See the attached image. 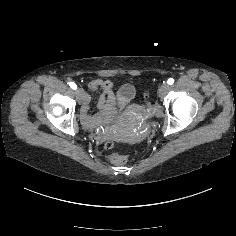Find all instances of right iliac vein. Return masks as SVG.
I'll list each match as a JSON object with an SVG mask.
<instances>
[{
  "mask_svg": "<svg viewBox=\"0 0 236 236\" xmlns=\"http://www.w3.org/2000/svg\"><path fill=\"white\" fill-rule=\"evenodd\" d=\"M75 94H76V99H77L78 103H81L84 100L85 93L82 90L77 89L75 91Z\"/></svg>",
  "mask_w": 236,
  "mask_h": 236,
  "instance_id": "63e3f726",
  "label": "right iliac vein"
}]
</instances>
